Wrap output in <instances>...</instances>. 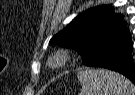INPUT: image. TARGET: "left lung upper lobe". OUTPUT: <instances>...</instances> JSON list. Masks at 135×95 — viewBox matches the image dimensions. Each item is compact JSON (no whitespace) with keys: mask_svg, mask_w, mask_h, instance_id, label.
I'll return each instance as SVG.
<instances>
[{"mask_svg":"<svg viewBox=\"0 0 135 95\" xmlns=\"http://www.w3.org/2000/svg\"><path fill=\"white\" fill-rule=\"evenodd\" d=\"M112 9L110 5H102L82 12L54 35L49 44L76 49L84 63L105 37L127 28L121 14Z\"/></svg>","mask_w":135,"mask_h":95,"instance_id":"left-lung-upper-lobe-1","label":"left lung upper lobe"}]
</instances>
